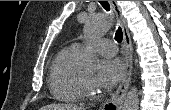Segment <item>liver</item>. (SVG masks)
Returning <instances> with one entry per match:
<instances>
[{"label": "liver", "mask_w": 171, "mask_h": 110, "mask_svg": "<svg viewBox=\"0 0 171 110\" xmlns=\"http://www.w3.org/2000/svg\"><path fill=\"white\" fill-rule=\"evenodd\" d=\"M40 110H84L72 104H50L43 106Z\"/></svg>", "instance_id": "6515ba94"}]
</instances>
